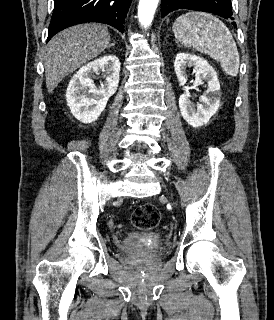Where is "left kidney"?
Returning <instances> with one entry per match:
<instances>
[{"label":"left kidney","mask_w":274,"mask_h":320,"mask_svg":"<svg viewBox=\"0 0 274 320\" xmlns=\"http://www.w3.org/2000/svg\"><path fill=\"white\" fill-rule=\"evenodd\" d=\"M187 66H193L195 80L193 86H186L184 94H181L179 108L181 116H183L187 124H190L192 128H200V126L208 124L210 118L220 108V84L215 70H213L206 60H203L200 56H193V54H177L174 70L181 84H186L187 82ZM205 82H207V90L203 96H200L202 104H196L195 106L190 100L189 90H195L196 86L205 84Z\"/></svg>","instance_id":"1"}]
</instances>
